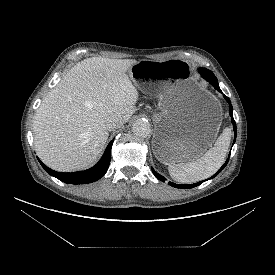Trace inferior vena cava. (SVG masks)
<instances>
[{
    "mask_svg": "<svg viewBox=\"0 0 275 275\" xmlns=\"http://www.w3.org/2000/svg\"><path fill=\"white\" fill-rule=\"evenodd\" d=\"M124 121L121 117L119 116H113L110 117L107 121H106V127L108 130H114L118 127H121L123 125Z\"/></svg>",
    "mask_w": 275,
    "mask_h": 275,
    "instance_id": "602c4592",
    "label": "inferior vena cava"
}]
</instances>
